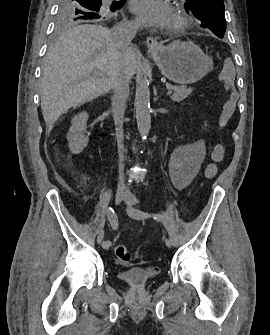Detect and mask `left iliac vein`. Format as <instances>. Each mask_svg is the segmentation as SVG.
Returning <instances> with one entry per match:
<instances>
[{
  "label": "left iliac vein",
  "instance_id": "1",
  "mask_svg": "<svg viewBox=\"0 0 270 335\" xmlns=\"http://www.w3.org/2000/svg\"><path fill=\"white\" fill-rule=\"evenodd\" d=\"M126 204H127V213L130 217L135 218V219H143L141 217H137L134 215L133 210H134V205L136 203L135 197L130 193L127 192L124 198ZM165 244L167 247L171 248L173 246L171 240L165 239Z\"/></svg>",
  "mask_w": 270,
  "mask_h": 335
}]
</instances>
